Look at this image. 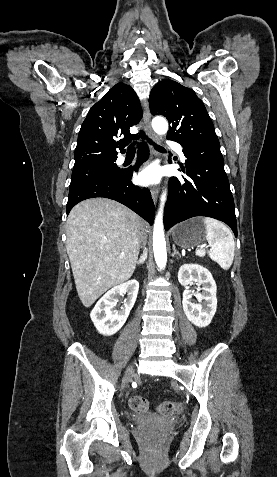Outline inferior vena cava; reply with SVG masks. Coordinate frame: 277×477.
I'll use <instances>...</instances> for the list:
<instances>
[{
    "instance_id": "inferior-vena-cava-1",
    "label": "inferior vena cava",
    "mask_w": 277,
    "mask_h": 477,
    "mask_svg": "<svg viewBox=\"0 0 277 477\" xmlns=\"http://www.w3.org/2000/svg\"><path fill=\"white\" fill-rule=\"evenodd\" d=\"M145 233L142 232V236H141V241L143 242V244L145 245ZM145 249V248H144Z\"/></svg>"
}]
</instances>
